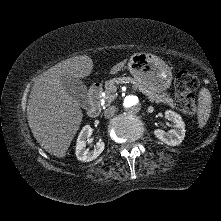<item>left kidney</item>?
<instances>
[{
	"mask_svg": "<svg viewBox=\"0 0 221 221\" xmlns=\"http://www.w3.org/2000/svg\"><path fill=\"white\" fill-rule=\"evenodd\" d=\"M165 118L173 121L174 129L169 132H165L161 129H156L154 135L170 146H176L182 143L185 137V123L183 122L181 116L174 111L167 110L165 111Z\"/></svg>",
	"mask_w": 221,
	"mask_h": 221,
	"instance_id": "1",
	"label": "left kidney"
}]
</instances>
